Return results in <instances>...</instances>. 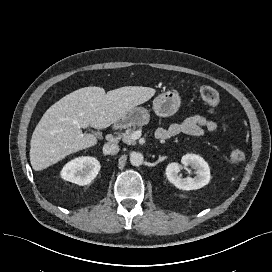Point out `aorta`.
<instances>
[{"instance_id": "762f6f07", "label": "aorta", "mask_w": 272, "mask_h": 272, "mask_svg": "<svg viewBox=\"0 0 272 272\" xmlns=\"http://www.w3.org/2000/svg\"><path fill=\"white\" fill-rule=\"evenodd\" d=\"M144 157L141 153L139 152H133L130 155V163L133 166H140L143 164Z\"/></svg>"}]
</instances>
